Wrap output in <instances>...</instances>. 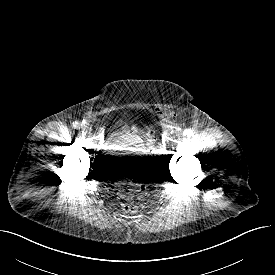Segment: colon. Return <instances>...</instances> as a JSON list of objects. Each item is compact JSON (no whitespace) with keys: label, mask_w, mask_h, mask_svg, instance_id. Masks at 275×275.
I'll use <instances>...</instances> for the list:
<instances>
[{"label":"colon","mask_w":275,"mask_h":275,"mask_svg":"<svg viewBox=\"0 0 275 275\" xmlns=\"http://www.w3.org/2000/svg\"><path fill=\"white\" fill-rule=\"evenodd\" d=\"M161 113L167 116L173 115V112L168 109L162 110ZM118 191L121 197L126 200L122 205L123 210L126 212H134L135 206L132 202L143 200L147 195L145 187L136 181H128L121 184L118 187Z\"/></svg>","instance_id":"colon-1"}]
</instances>
